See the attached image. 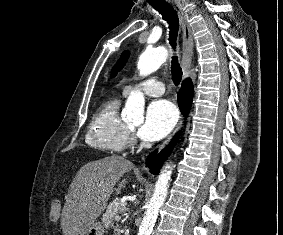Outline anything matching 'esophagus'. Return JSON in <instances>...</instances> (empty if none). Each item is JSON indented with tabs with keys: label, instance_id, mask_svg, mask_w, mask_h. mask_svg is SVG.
Segmentation results:
<instances>
[{
	"label": "esophagus",
	"instance_id": "1",
	"mask_svg": "<svg viewBox=\"0 0 283 235\" xmlns=\"http://www.w3.org/2000/svg\"><path fill=\"white\" fill-rule=\"evenodd\" d=\"M172 5H173L175 11L178 14L180 24H181V27H182L183 42H182L181 66H182L184 78H187L189 76V68H190V64H191L192 56H193V37H192V33H191V28L188 24V21L186 19L184 11L182 10V8L177 3L172 2ZM180 126H181V123L177 127V130L180 128ZM170 139H171V136L168 137L160 145L159 151L162 150L169 143ZM141 170L145 172V171L148 170V168L145 165H143Z\"/></svg>",
	"mask_w": 283,
	"mask_h": 235
}]
</instances>
